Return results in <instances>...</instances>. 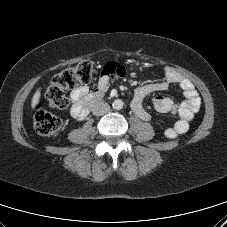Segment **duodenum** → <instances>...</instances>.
Masks as SVG:
<instances>
[{
	"mask_svg": "<svg viewBox=\"0 0 227 227\" xmlns=\"http://www.w3.org/2000/svg\"><path fill=\"white\" fill-rule=\"evenodd\" d=\"M102 99L101 96H93L89 99V101L87 102L86 105V111L88 112V110L90 109V107H92L93 105H95L96 103L100 102Z\"/></svg>",
	"mask_w": 227,
	"mask_h": 227,
	"instance_id": "410a0bca",
	"label": "duodenum"
}]
</instances>
